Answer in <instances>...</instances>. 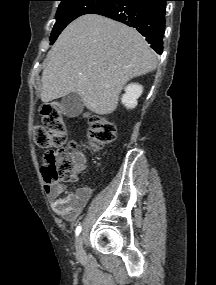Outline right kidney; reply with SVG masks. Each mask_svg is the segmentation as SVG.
Masks as SVG:
<instances>
[{
  "instance_id": "right-kidney-1",
  "label": "right kidney",
  "mask_w": 216,
  "mask_h": 285,
  "mask_svg": "<svg viewBox=\"0 0 216 285\" xmlns=\"http://www.w3.org/2000/svg\"><path fill=\"white\" fill-rule=\"evenodd\" d=\"M143 87L136 83H131L125 88V94L122 96V103L127 108H135L137 99L141 96Z\"/></svg>"
}]
</instances>
